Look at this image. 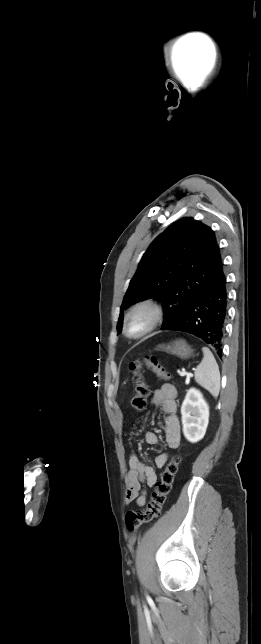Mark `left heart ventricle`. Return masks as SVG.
<instances>
[{
    "label": "left heart ventricle",
    "instance_id": "b2bd125f",
    "mask_svg": "<svg viewBox=\"0 0 261 644\" xmlns=\"http://www.w3.org/2000/svg\"><path fill=\"white\" fill-rule=\"evenodd\" d=\"M147 321H148V316L146 313L140 312L136 314L131 320V326H130L131 331L138 332L146 325Z\"/></svg>",
    "mask_w": 261,
    "mask_h": 644
}]
</instances>
